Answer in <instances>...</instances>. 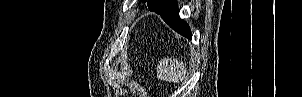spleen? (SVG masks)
I'll return each mask as SVG.
<instances>
[{"instance_id":"3e777b00","label":"spleen","mask_w":302,"mask_h":97,"mask_svg":"<svg viewBox=\"0 0 302 97\" xmlns=\"http://www.w3.org/2000/svg\"><path fill=\"white\" fill-rule=\"evenodd\" d=\"M185 73L186 69L183 62H179L177 59H164L157 67V77L165 81H182Z\"/></svg>"}]
</instances>
